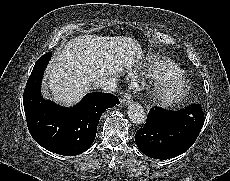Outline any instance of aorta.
<instances>
[{"label":"aorta","instance_id":"1","mask_svg":"<svg viewBox=\"0 0 230 181\" xmlns=\"http://www.w3.org/2000/svg\"><path fill=\"white\" fill-rule=\"evenodd\" d=\"M127 114L132 123L137 125H143L146 122V113L137 102H131L127 107Z\"/></svg>","mask_w":230,"mask_h":181}]
</instances>
